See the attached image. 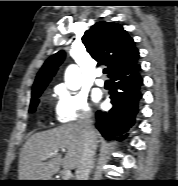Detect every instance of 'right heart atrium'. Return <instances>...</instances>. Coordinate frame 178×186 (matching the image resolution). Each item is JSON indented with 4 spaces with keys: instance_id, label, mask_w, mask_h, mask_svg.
Returning a JSON list of instances; mask_svg holds the SVG:
<instances>
[{
    "instance_id": "right-heart-atrium-1",
    "label": "right heart atrium",
    "mask_w": 178,
    "mask_h": 186,
    "mask_svg": "<svg viewBox=\"0 0 178 186\" xmlns=\"http://www.w3.org/2000/svg\"><path fill=\"white\" fill-rule=\"evenodd\" d=\"M56 117L60 122L87 120L92 116L87 95L81 91L57 88Z\"/></svg>"
}]
</instances>
